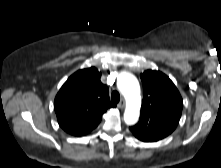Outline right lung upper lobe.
<instances>
[{"instance_id": "cb5924a9", "label": "right lung upper lobe", "mask_w": 221, "mask_h": 168, "mask_svg": "<svg viewBox=\"0 0 221 168\" xmlns=\"http://www.w3.org/2000/svg\"><path fill=\"white\" fill-rule=\"evenodd\" d=\"M95 68L82 69L71 75L57 93L54 109L60 127L74 136L89 133L98 126L103 113L116 107L110 102L108 87L100 81Z\"/></svg>"}]
</instances>
